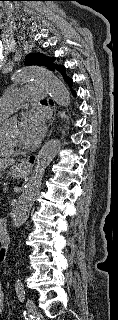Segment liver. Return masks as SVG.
<instances>
[{
	"label": "liver",
	"mask_w": 118,
	"mask_h": 320,
	"mask_svg": "<svg viewBox=\"0 0 118 320\" xmlns=\"http://www.w3.org/2000/svg\"><path fill=\"white\" fill-rule=\"evenodd\" d=\"M13 164H15L13 159H0V171Z\"/></svg>",
	"instance_id": "obj_1"
}]
</instances>
